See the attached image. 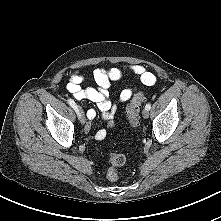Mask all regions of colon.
Returning <instances> with one entry per match:
<instances>
[{
    "instance_id": "colon-1",
    "label": "colon",
    "mask_w": 221,
    "mask_h": 221,
    "mask_svg": "<svg viewBox=\"0 0 221 221\" xmlns=\"http://www.w3.org/2000/svg\"><path fill=\"white\" fill-rule=\"evenodd\" d=\"M146 96L143 92L138 93L130 101L126 108V117L131 127H136L139 123L140 110L144 103ZM110 167L107 170V178L110 181H115L120 176V168L125 163V156L120 153H110L108 155Z\"/></svg>"
}]
</instances>
